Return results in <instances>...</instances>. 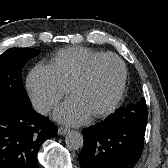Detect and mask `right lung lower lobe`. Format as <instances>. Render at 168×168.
<instances>
[{"instance_id": "1", "label": "right lung lower lobe", "mask_w": 168, "mask_h": 168, "mask_svg": "<svg viewBox=\"0 0 168 168\" xmlns=\"http://www.w3.org/2000/svg\"><path fill=\"white\" fill-rule=\"evenodd\" d=\"M56 134L31 107L0 101V168H39L40 146Z\"/></svg>"}]
</instances>
